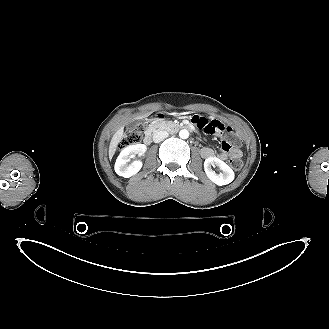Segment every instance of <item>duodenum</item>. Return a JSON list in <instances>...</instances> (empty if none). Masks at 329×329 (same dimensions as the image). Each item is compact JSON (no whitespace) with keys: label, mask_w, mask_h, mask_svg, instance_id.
Wrapping results in <instances>:
<instances>
[{"label":"duodenum","mask_w":329,"mask_h":329,"mask_svg":"<svg viewBox=\"0 0 329 329\" xmlns=\"http://www.w3.org/2000/svg\"><path fill=\"white\" fill-rule=\"evenodd\" d=\"M180 127L183 128V129H190V126L185 125V124L181 125ZM143 141H144V144H146V145H149L152 142V132L151 131H148L145 134Z\"/></svg>","instance_id":"410a0bca"}]
</instances>
